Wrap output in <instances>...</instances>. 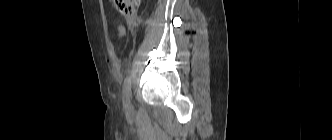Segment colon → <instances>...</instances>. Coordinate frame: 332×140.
Masks as SVG:
<instances>
[{
    "mask_svg": "<svg viewBox=\"0 0 332 140\" xmlns=\"http://www.w3.org/2000/svg\"><path fill=\"white\" fill-rule=\"evenodd\" d=\"M116 9L125 17H132L137 8L139 7L141 0H110ZM119 33H122V29L119 28Z\"/></svg>",
    "mask_w": 332,
    "mask_h": 140,
    "instance_id": "obj_1",
    "label": "colon"
}]
</instances>
